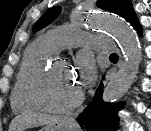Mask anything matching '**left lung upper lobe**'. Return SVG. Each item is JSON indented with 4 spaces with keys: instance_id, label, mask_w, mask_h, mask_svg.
<instances>
[{
    "instance_id": "obj_1",
    "label": "left lung upper lobe",
    "mask_w": 151,
    "mask_h": 131,
    "mask_svg": "<svg viewBox=\"0 0 151 131\" xmlns=\"http://www.w3.org/2000/svg\"><path fill=\"white\" fill-rule=\"evenodd\" d=\"M97 6L101 9L116 13L129 22L136 17L130 0H98ZM60 11L61 7L59 6L49 9L34 24L33 31H38L47 26L59 15Z\"/></svg>"
}]
</instances>
